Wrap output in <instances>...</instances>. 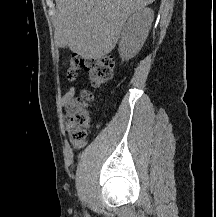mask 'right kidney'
<instances>
[{"mask_svg":"<svg viewBox=\"0 0 216 217\" xmlns=\"http://www.w3.org/2000/svg\"><path fill=\"white\" fill-rule=\"evenodd\" d=\"M153 19L154 12L150 8H142L129 18L119 43L122 60H128L138 53L148 36Z\"/></svg>","mask_w":216,"mask_h":217,"instance_id":"ca27d5eb","label":"right kidney"}]
</instances>
